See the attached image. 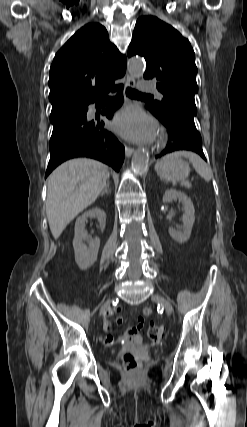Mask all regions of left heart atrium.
Instances as JSON below:
<instances>
[{"mask_svg":"<svg viewBox=\"0 0 247 427\" xmlns=\"http://www.w3.org/2000/svg\"><path fill=\"white\" fill-rule=\"evenodd\" d=\"M113 129L127 140L145 143L154 139L156 123L141 109L128 107L116 115Z\"/></svg>","mask_w":247,"mask_h":427,"instance_id":"left-heart-atrium-1","label":"left heart atrium"}]
</instances>
